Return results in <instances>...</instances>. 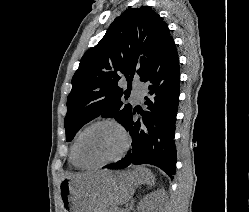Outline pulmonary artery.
Segmentation results:
<instances>
[{
	"label": "pulmonary artery",
	"mask_w": 249,
	"mask_h": 212,
	"mask_svg": "<svg viewBox=\"0 0 249 212\" xmlns=\"http://www.w3.org/2000/svg\"><path fill=\"white\" fill-rule=\"evenodd\" d=\"M146 91L145 85L142 83H134L132 88V97L136 102H142Z\"/></svg>",
	"instance_id": "pulmonary-artery-1"
}]
</instances>
